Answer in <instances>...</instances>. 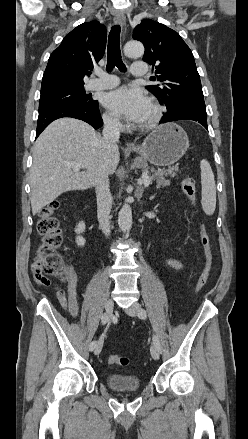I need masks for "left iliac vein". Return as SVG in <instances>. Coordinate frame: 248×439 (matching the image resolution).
<instances>
[{
    "label": "left iliac vein",
    "instance_id": "1",
    "mask_svg": "<svg viewBox=\"0 0 248 439\" xmlns=\"http://www.w3.org/2000/svg\"><path fill=\"white\" fill-rule=\"evenodd\" d=\"M126 312L131 315V316H137L139 318H145V315L142 313V309L141 306L138 303H133L127 310ZM150 352H151V356L153 357L154 360H158L160 357V351L157 347V345L154 343L152 344L151 348H150Z\"/></svg>",
    "mask_w": 248,
    "mask_h": 439
}]
</instances>
